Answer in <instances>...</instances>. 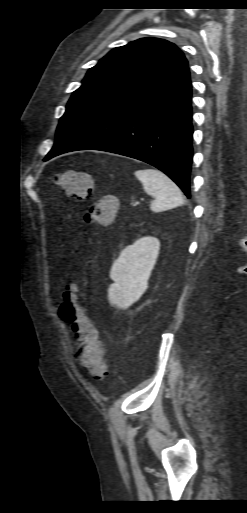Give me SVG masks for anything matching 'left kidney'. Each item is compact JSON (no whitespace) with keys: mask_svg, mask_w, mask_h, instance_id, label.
<instances>
[{"mask_svg":"<svg viewBox=\"0 0 247 513\" xmlns=\"http://www.w3.org/2000/svg\"><path fill=\"white\" fill-rule=\"evenodd\" d=\"M159 250L160 241L147 236L137 239L121 252L110 271L114 283L108 289V299L113 306L127 309L140 299L148 288Z\"/></svg>","mask_w":247,"mask_h":513,"instance_id":"obj_1","label":"left kidney"}]
</instances>
